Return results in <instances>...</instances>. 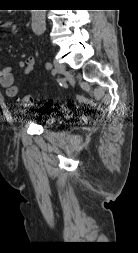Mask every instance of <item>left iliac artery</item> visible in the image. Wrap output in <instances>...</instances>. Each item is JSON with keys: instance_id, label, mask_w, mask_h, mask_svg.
I'll use <instances>...</instances> for the list:
<instances>
[{"instance_id": "obj_1", "label": "left iliac artery", "mask_w": 138, "mask_h": 253, "mask_svg": "<svg viewBox=\"0 0 138 253\" xmlns=\"http://www.w3.org/2000/svg\"><path fill=\"white\" fill-rule=\"evenodd\" d=\"M52 68V64L51 63H46V69H51Z\"/></svg>"}]
</instances>
